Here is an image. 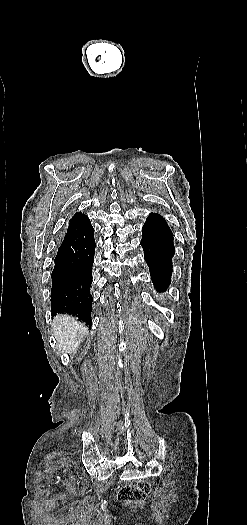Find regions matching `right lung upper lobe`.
<instances>
[{
  "instance_id": "obj_1",
  "label": "right lung upper lobe",
  "mask_w": 247,
  "mask_h": 525,
  "mask_svg": "<svg viewBox=\"0 0 247 525\" xmlns=\"http://www.w3.org/2000/svg\"><path fill=\"white\" fill-rule=\"evenodd\" d=\"M90 225L89 218L80 212L75 213V215L71 218L70 224L67 229V233L65 236H68L72 233H75L77 231H80Z\"/></svg>"
}]
</instances>
